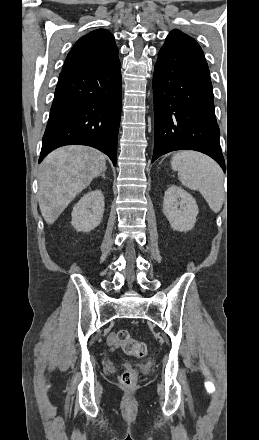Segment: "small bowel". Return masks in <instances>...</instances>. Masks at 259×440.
Instances as JSON below:
<instances>
[{"label":"small bowel","instance_id":"1","mask_svg":"<svg viewBox=\"0 0 259 440\" xmlns=\"http://www.w3.org/2000/svg\"><path fill=\"white\" fill-rule=\"evenodd\" d=\"M106 342H107L108 346H110L111 348L117 347L116 336L114 333H111L108 335Z\"/></svg>","mask_w":259,"mask_h":440}]
</instances>
